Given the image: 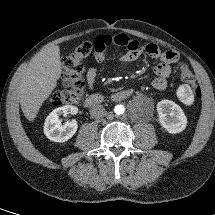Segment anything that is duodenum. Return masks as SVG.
<instances>
[{
  "label": "duodenum",
  "instance_id": "410a0bca",
  "mask_svg": "<svg viewBox=\"0 0 215 215\" xmlns=\"http://www.w3.org/2000/svg\"><path fill=\"white\" fill-rule=\"evenodd\" d=\"M132 94V90L131 89H123L120 91L115 92L111 99L113 101L119 102V101H123L126 100L127 98H129ZM105 101L104 96L100 95V94H91L89 96H87L84 100V105L86 107H94L96 105H99L101 103H103Z\"/></svg>",
  "mask_w": 215,
  "mask_h": 215
}]
</instances>
